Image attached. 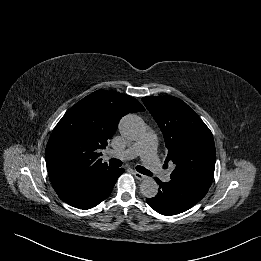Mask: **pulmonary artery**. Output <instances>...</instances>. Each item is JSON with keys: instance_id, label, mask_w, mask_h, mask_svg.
Returning a JSON list of instances; mask_svg holds the SVG:
<instances>
[{"instance_id": "pulmonary-artery-1", "label": "pulmonary artery", "mask_w": 261, "mask_h": 261, "mask_svg": "<svg viewBox=\"0 0 261 261\" xmlns=\"http://www.w3.org/2000/svg\"><path fill=\"white\" fill-rule=\"evenodd\" d=\"M157 139L153 133L142 136L131 147L121 152H111L109 156L129 160L137 156L142 158L144 165L152 172L158 174L164 182L170 181V172L163 171L156 153Z\"/></svg>"}]
</instances>
